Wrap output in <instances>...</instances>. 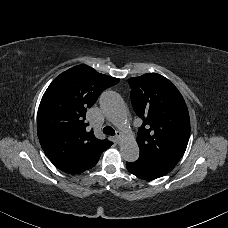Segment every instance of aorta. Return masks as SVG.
<instances>
[{
	"instance_id": "obj_1",
	"label": "aorta",
	"mask_w": 228,
	"mask_h": 228,
	"mask_svg": "<svg viewBox=\"0 0 228 228\" xmlns=\"http://www.w3.org/2000/svg\"><path fill=\"white\" fill-rule=\"evenodd\" d=\"M100 107L107 118L118 127H122L126 120V107L121 96L114 91H105L100 97ZM120 153L128 162H134L139 157V147L132 134L124 135L121 140Z\"/></svg>"
}]
</instances>
